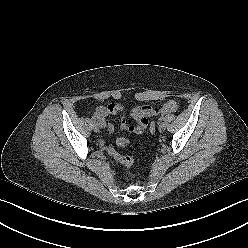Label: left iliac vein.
Returning <instances> with one entry per match:
<instances>
[{
    "label": "left iliac vein",
    "instance_id": "4c4485c4",
    "mask_svg": "<svg viewBox=\"0 0 248 248\" xmlns=\"http://www.w3.org/2000/svg\"><path fill=\"white\" fill-rule=\"evenodd\" d=\"M158 128L160 131H164L166 129V123L164 122L159 123Z\"/></svg>",
    "mask_w": 248,
    "mask_h": 248
}]
</instances>
